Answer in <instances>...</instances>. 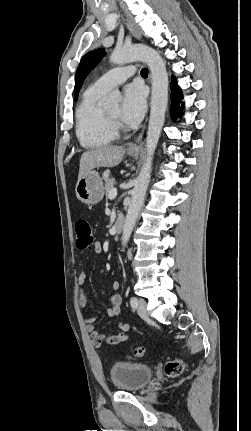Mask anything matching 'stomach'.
<instances>
[{
	"label": "stomach",
	"instance_id": "1",
	"mask_svg": "<svg viewBox=\"0 0 251 431\" xmlns=\"http://www.w3.org/2000/svg\"><path fill=\"white\" fill-rule=\"evenodd\" d=\"M139 151H129V155L135 156ZM103 179L98 172L91 170L85 177L78 179L75 191L77 198L88 205L100 202L104 196Z\"/></svg>",
	"mask_w": 251,
	"mask_h": 431
}]
</instances>
